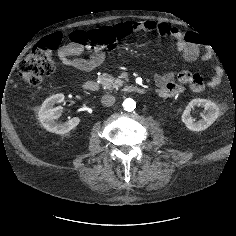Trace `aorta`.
I'll list each match as a JSON object with an SVG mask.
<instances>
[{
    "label": "aorta",
    "instance_id": "aorta-1",
    "mask_svg": "<svg viewBox=\"0 0 236 236\" xmlns=\"http://www.w3.org/2000/svg\"><path fill=\"white\" fill-rule=\"evenodd\" d=\"M122 105L124 110L128 112H131L136 108V102L131 98L125 99Z\"/></svg>",
    "mask_w": 236,
    "mask_h": 236
}]
</instances>
